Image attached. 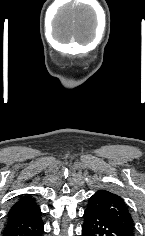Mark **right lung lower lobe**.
Wrapping results in <instances>:
<instances>
[{"instance_id":"98d812e1","label":"right lung lower lobe","mask_w":145,"mask_h":236,"mask_svg":"<svg viewBox=\"0 0 145 236\" xmlns=\"http://www.w3.org/2000/svg\"><path fill=\"white\" fill-rule=\"evenodd\" d=\"M44 225L39 207L8 217L3 236H42Z\"/></svg>"}]
</instances>
